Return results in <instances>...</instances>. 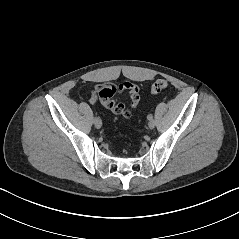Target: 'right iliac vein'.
I'll use <instances>...</instances> for the list:
<instances>
[{
  "label": "right iliac vein",
  "instance_id": "1",
  "mask_svg": "<svg viewBox=\"0 0 239 239\" xmlns=\"http://www.w3.org/2000/svg\"><path fill=\"white\" fill-rule=\"evenodd\" d=\"M94 125H95V127L98 128V129L101 128V126H102L101 120H100V119L96 120V121L94 122Z\"/></svg>",
  "mask_w": 239,
  "mask_h": 239
}]
</instances>
